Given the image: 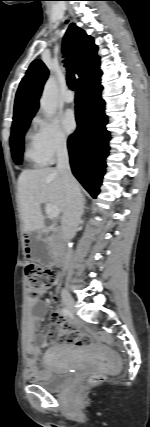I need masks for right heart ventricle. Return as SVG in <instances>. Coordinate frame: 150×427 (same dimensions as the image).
Masks as SVG:
<instances>
[{
  "label": "right heart ventricle",
  "mask_w": 150,
  "mask_h": 427,
  "mask_svg": "<svg viewBox=\"0 0 150 427\" xmlns=\"http://www.w3.org/2000/svg\"><path fill=\"white\" fill-rule=\"evenodd\" d=\"M24 158L34 166H42L47 161L44 158L37 138V132L28 130L24 136Z\"/></svg>",
  "instance_id": "right-heart-ventricle-1"
}]
</instances>
